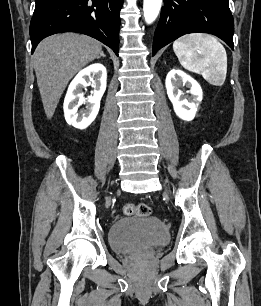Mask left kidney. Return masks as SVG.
Returning a JSON list of instances; mask_svg holds the SVG:
<instances>
[{
  "instance_id": "obj_1",
  "label": "left kidney",
  "mask_w": 261,
  "mask_h": 306,
  "mask_svg": "<svg viewBox=\"0 0 261 306\" xmlns=\"http://www.w3.org/2000/svg\"><path fill=\"white\" fill-rule=\"evenodd\" d=\"M165 85L176 115L184 121L193 120L203 98V92L198 82L183 71L173 69L167 74ZM182 85L190 88L191 95L189 97H185L179 89Z\"/></svg>"
}]
</instances>
